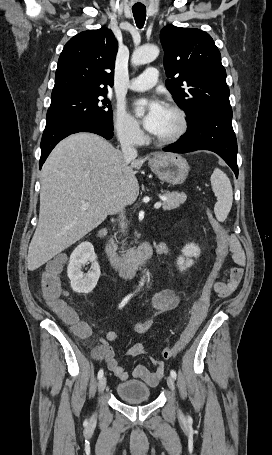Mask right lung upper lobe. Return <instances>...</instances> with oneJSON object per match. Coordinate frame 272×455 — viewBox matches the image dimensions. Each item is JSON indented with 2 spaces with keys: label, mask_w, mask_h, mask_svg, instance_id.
<instances>
[{
  "label": "right lung upper lobe",
  "mask_w": 272,
  "mask_h": 455,
  "mask_svg": "<svg viewBox=\"0 0 272 455\" xmlns=\"http://www.w3.org/2000/svg\"><path fill=\"white\" fill-rule=\"evenodd\" d=\"M118 46L108 28L83 31L64 46L58 60L51 101L70 96L107 94L114 83Z\"/></svg>",
  "instance_id": "right-lung-upper-lobe-1"
}]
</instances>
